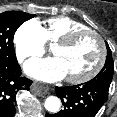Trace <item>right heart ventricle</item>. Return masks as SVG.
Segmentation results:
<instances>
[{"instance_id": "obj_1", "label": "right heart ventricle", "mask_w": 117, "mask_h": 117, "mask_svg": "<svg viewBox=\"0 0 117 117\" xmlns=\"http://www.w3.org/2000/svg\"><path fill=\"white\" fill-rule=\"evenodd\" d=\"M42 34L45 42L55 43L66 34L87 28L83 23L67 16H56L44 21Z\"/></svg>"}]
</instances>
